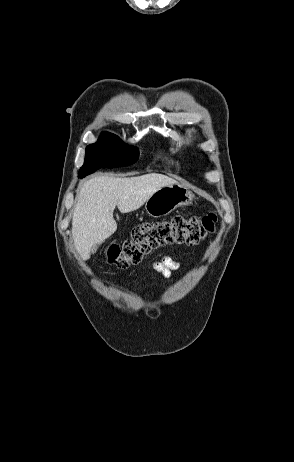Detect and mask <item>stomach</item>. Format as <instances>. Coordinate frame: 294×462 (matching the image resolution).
<instances>
[{
  "mask_svg": "<svg viewBox=\"0 0 294 462\" xmlns=\"http://www.w3.org/2000/svg\"><path fill=\"white\" fill-rule=\"evenodd\" d=\"M193 198L189 189L179 184L167 185L151 195L145 203V210L150 216L158 218L168 215L179 206L189 205Z\"/></svg>",
  "mask_w": 294,
  "mask_h": 462,
  "instance_id": "obj_1",
  "label": "stomach"
}]
</instances>
